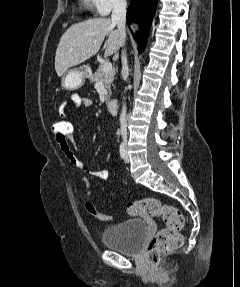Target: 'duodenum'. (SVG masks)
<instances>
[{"label": "duodenum", "instance_id": "410a0bca", "mask_svg": "<svg viewBox=\"0 0 240 287\" xmlns=\"http://www.w3.org/2000/svg\"><path fill=\"white\" fill-rule=\"evenodd\" d=\"M107 108L110 113L115 114L118 110V100L115 98L108 100Z\"/></svg>", "mask_w": 240, "mask_h": 287}]
</instances>
